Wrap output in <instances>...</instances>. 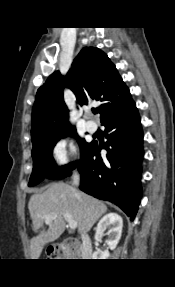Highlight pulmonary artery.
Returning <instances> with one entry per match:
<instances>
[{"label":"pulmonary artery","instance_id":"pulmonary-artery-1","mask_svg":"<svg viewBox=\"0 0 175 287\" xmlns=\"http://www.w3.org/2000/svg\"><path fill=\"white\" fill-rule=\"evenodd\" d=\"M85 125L88 132L94 133L97 131V124L94 121L88 120Z\"/></svg>","mask_w":175,"mask_h":287}]
</instances>
